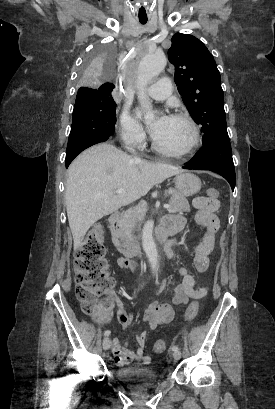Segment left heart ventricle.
<instances>
[{
    "mask_svg": "<svg viewBox=\"0 0 275 409\" xmlns=\"http://www.w3.org/2000/svg\"><path fill=\"white\" fill-rule=\"evenodd\" d=\"M152 124H157L153 138L162 147L167 149H181L189 141L191 133L188 125L183 121L165 118L156 119Z\"/></svg>",
    "mask_w": 275,
    "mask_h": 409,
    "instance_id": "b2bd125f",
    "label": "left heart ventricle"
}]
</instances>
